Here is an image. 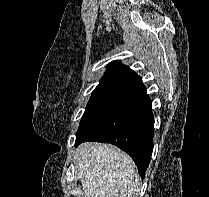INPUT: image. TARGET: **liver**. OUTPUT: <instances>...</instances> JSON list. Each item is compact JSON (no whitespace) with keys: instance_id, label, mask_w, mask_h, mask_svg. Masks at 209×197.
<instances>
[{"instance_id":"obj_1","label":"liver","mask_w":209,"mask_h":197,"mask_svg":"<svg viewBox=\"0 0 209 197\" xmlns=\"http://www.w3.org/2000/svg\"><path fill=\"white\" fill-rule=\"evenodd\" d=\"M77 159L84 197H135L140 178L125 152L109 144L84 143Z\"/></svg>"}]
</instances>
